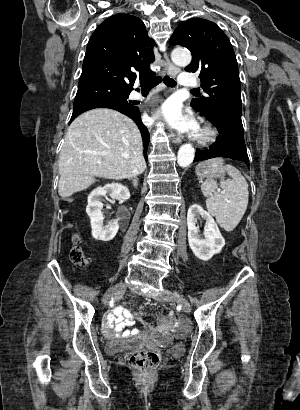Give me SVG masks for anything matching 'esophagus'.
<instances>
[{
	"label": "esophagus",
	"instance_id": "obj_1",
	"mask_svg": "<svg viewBox=\"0 0 300 410\" xmlns=\"http://www.w3.org/2000/svg\"><path fill=\"white\" fill-rule=\"evenodd\" d=\"M164 59L167 65V73L173 77L176 76L179 73V68H177L171 63L166 52L164 53ZM170 138L172 142L175 144H179L181 142V138L177 136L174 132L170 133Z\"/></svg>",
	"mask_w": 300,
	"mask_h": 410
}]
</instances>
